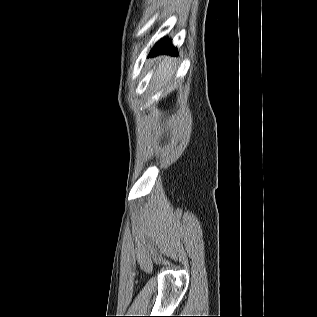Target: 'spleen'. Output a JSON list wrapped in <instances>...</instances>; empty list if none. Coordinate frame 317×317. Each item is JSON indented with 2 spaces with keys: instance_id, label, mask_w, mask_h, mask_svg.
I'll use <instances>...</instances> for the list:
<instances>
[{
  "instance_id": "3e777b00",
  "label": "spleen",
  "mask_w": 317,
  "mask_h": 317,
  "mask_svg": "<svg viewBox=\"0 0 317 317\" xmlns=\"http://www.w3.org/2000/svg\"><path fill=\"white\" fill-rule=\"evenodd\" d=\"M173 75L174 69L172 67V59L166 58L159 64V68L155 72V78L159 81V86L170 83Z\"/></svg>"
}]
</instances>
